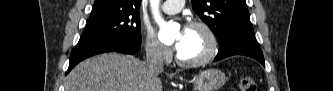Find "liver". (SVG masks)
I'll return each instance as SVG.
<instances>
[{"mask_svg": "<svg viewBox=\"0 0 333 91\" xmlns=\"http://www.w3.org/2000/svg\"><path fill=\"white\" fill-rule=\"evenodd\" d=\"M65 91H162V84L139 59L108 53L78 64L66 77Z\"/></svg>", "mask_w": 333, "mask_h": 91, "instance_id": "6515ba94", "label": "liver"}]
</instances>
